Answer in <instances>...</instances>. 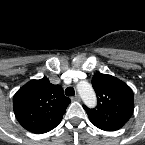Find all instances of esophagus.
Returning a JSON list of instances; mask_svg holds the SVG:
<instances>
[{"instance_id":"obj_1","label":"esophagus","mask_w":145,"mask_h":145,"mask_svg":"<svg viewBox=\"0 0 145 145\" xmlns=\"http://www.w3.org/2000/svg\"><path fill=\"white\" fill-rule=\"evenodd\" d=\"M72 101H80L81 98L78 94H76L74 97L71 98Z\"/></svg>"}]
</instances>
